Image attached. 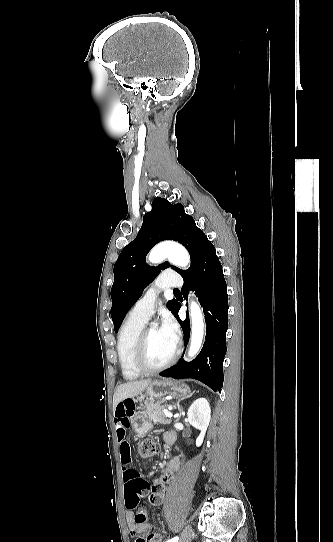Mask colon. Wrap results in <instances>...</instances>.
<instances>
[{
	"label": "colon",
	"instance_id": "obj_1",
	"mask_svg": "<svg viewBox=\"0 0 333 542\" xmlns=\"http://www.w3.org/2000/svg\"><path fill=\"white\" fill-rule=\"evenodd\" d=\"M157 450V443L151 439L142 440L138 446L139 455L144 459L153 457ZM122 473L124 479L129 481V483L124 484L123 488V498L126 500L124 503L125 512L131 511L133 513L131 516L126 514V523L142 525L145 521L142 516L147 510L143 506L139 508L138 504L145 497L149 486L143 479H140L141 474L136 470L135 466H124ZM151 538L156 539V536H151Z\"/></svg>",
	"mask_w": 333,
	"mask_h": 542
}]
</instances>
